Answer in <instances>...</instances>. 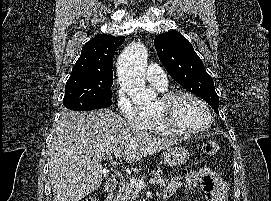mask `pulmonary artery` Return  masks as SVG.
Segmentation results:
<instances>
[{
  "label": "pulmonary artery",
  "mask_w": 271,
  "mask_h": 201,
  "mask_svg": "<svg viewBox=\"0 0 271 201\" xmlns=\"http://www.w3.org/2000/svg\"><path fill=\"white\" fill-rule=\"evenodd\" d=\"M147 80L158 87L159 89H165L167 87V77L164 70L156 64H150L147 67L146 72Z\"/></svg>",
  "instance_id": "e3ab8cb5"
}]
</instances>
